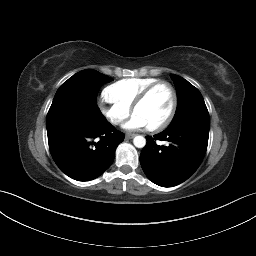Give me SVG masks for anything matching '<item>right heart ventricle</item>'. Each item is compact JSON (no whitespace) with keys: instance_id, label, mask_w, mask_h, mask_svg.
I'll return each instance as SVG.
<instances>
[{"instance_id":"1","label":"right heart ventricle","mask_w":256,"mask_h":256,"mask_svg":"<svg viewBox=\"0 0 256 256\" xmlns=\"http://www.w3.org/2000/svg\"><path fill=\"white\" fill-rule=\"evenodd\" d=\"M156 82L154 78H128L111 84L105 92L111 100L131 108L137 97Z\"/></svg>"}]
</instances>
